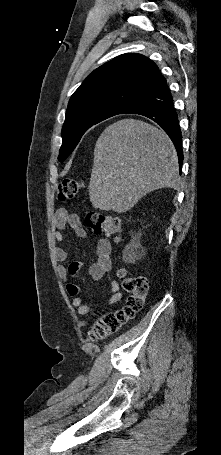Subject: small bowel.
Returning a JSON list of instances; mask_svg holds the SVG:
<instances>
[{
    "label": "small bowel",
    "mask_w": 221,
    "mask_h": 455,
    "mask_svg": "<svg viewBox=\"0 0 221 455\" xmlns=\"http://www.w3.org/2000/svg\"><path fill=\"white\" fill-rule=\"evenodd\" d=\"M54 223L56 229L53 234L55 239L58 242H62L63 234L62 230L66 228H72L78 237L82 239H88L89 235L84 229L78 215L74 213H69L64 209H60L55 217ZM111 244L107 239H99L96 242V262L89 266L88 272L93 280H101L104 278H109L111 271ZM54 257L58 261H65L68 257L67 252L61 247L54 248ZM83 269V264L81 262H71L67 267L62 269L63 275H76L79 271ZM109 286L111 290V297L109 298L108 304L113 305L118 303L122 294L120 291L119 284L115 280L109 279ZM67 293L72 297V305L76 308V311L80 315H85L92 313L94 309L84 302V298L79 295L80 287L76 283H68L66 285Z\"/></svg>",
    "instance_id": "1"
}]
</instances>
